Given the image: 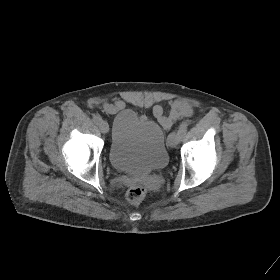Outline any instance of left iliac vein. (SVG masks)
Returning a JSON list of instances; mask_svg holds the SVG:
<instances>
[{
	"instance_id": "4c4485c4",
	"label": "left iliac vein",
	"mask_w": 280,
	"mask_h": 280,
	"mask_svg": "<svg viewBox=\"0 0 280 280\" xmlns=\"http://www.w3.org/2000/svg\"><path fill=\"white\" fill-rule=\"evenodd\" d=\"M180 140L181 136L178 134V132H172L168 138V145L170 147H175L180 142Z\"/></svg>"
}]
</instances>
